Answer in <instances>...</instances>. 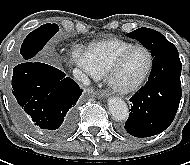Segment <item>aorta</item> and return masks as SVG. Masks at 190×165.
Listing matches in <instances>:
<instances>
[{
  "label": "aorta",
  "mask_w": 190,
  "mask_h": 165,
  "mask_svg": "<svg viewBox=\"0 0 190 165\" xmlns=\"http://www.w3.org/2000/svg\"><path fill=\"white\" fill-rule=\"evenodd\" d=\"M108 108L112 117L117 121H125L129 116L126 102L120 98H110Z\"/></svg>",
  "instance_id": "obj_1"
}]
</instances>
